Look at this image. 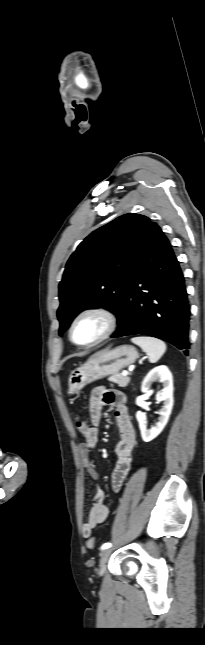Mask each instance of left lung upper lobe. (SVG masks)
<instances>
[{"label": "left lung upper lobe", "mask_w": 205, "mask_h": 645, "mask_svg": "<svg viewBox=\"0 0 205 645\" xmlns=\"http://www.w3.org/2000/svg\"><path fill=\"white\" fill-rule=\"evenodd\" d=\"M150 223L146 216L125 214L79 244L59 284L60 335L87 308L101 306L119 320L129 270Z\"/></svg>", "instance_id": "left-lung-upper-lobe-1"}]
</instances>
